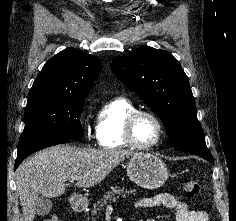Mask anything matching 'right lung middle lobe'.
<instances>
[{"label": "right lung middle lobe", "instance_id": "obj_1", "mask_svg": "<svg viewBox=\"0 0 236 221\" xmlns=\"http://www.w3.org/2000/svg\"><path fill=\"white\" fill-rule=\"evenodd\" d=\"M84 99L28 96L25 127L18 147L38 140L82 138L79 118Z\"/></svg>", "mask_w": 236, "mask_h": 221}]
</instances>
